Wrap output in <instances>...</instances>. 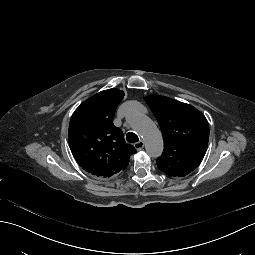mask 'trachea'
Instances as JSON below:
<instances>
[{"mask_svg": "<svg viewBox=\"0 0 255 255\" xmlns=\"http://www.w3.org/2000/svg\"><path fill=\"white\" fill-rule=\"evenodd\" d=\"M126 140L130 143H135L139 141V138L135 133L129 132L126 135Z\"/></svg>", "mask_w": 255, "mask_h": 255, "instance_id": "3493384b", "label": "trachea"}]
</instances>
